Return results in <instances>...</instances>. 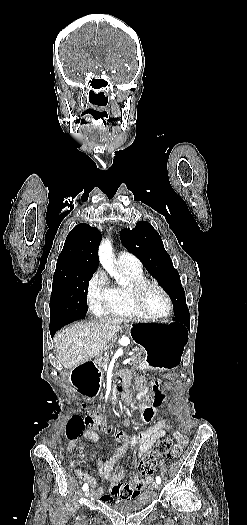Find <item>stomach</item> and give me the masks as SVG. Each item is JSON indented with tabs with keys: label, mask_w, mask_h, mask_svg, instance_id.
Instances as JSON below:
<instances>
[{
	"label": "stomach",
	"mask_w": 247,
	"mask_h": 525,
	"mask_svg": "<svg viewBox=\"0 0 247 525\" xmlns=\"http://www.w3.org/2000/svg\"><path fill=\"white\" fill-rule=\"evenodd\" d=\"M130 335L146 351L142 367L150 370L176 369L188 341L185 326L175 322L135 323Z\"/></svg>",
	"instance_id": "1"
}]
</instances>
